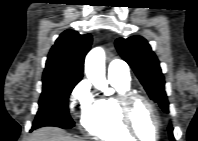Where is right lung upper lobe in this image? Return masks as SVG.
<instances>
[{"label": "right lung upper lobe", "instance_id": "cb5924a9", "mask_svg": "<svg viewBox=\"0 0 198 141\" xmlns=\"http://www.w3.org/2000/svg\"><path fill=\"white\" fill-rule=\"evenodd\" d=\"M91 43L90 34L80 35L73 30L64 31L49 52L43 78L82 79L84 58Z\"/></svg>", "mask_w": 198, "mask_h": 141}]
</instances>
